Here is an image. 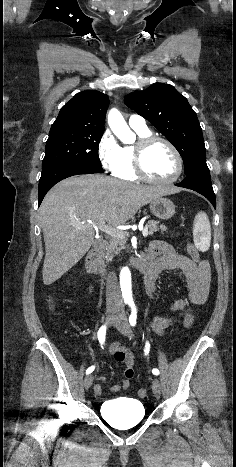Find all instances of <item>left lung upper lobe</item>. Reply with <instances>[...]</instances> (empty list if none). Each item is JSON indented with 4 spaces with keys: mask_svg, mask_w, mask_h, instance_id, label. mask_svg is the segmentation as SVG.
<instances>
[{
    "mask_svg": "<svg viewBox=\"0 0 236 467\" xmlns=\"http://www.w3.org/2000/svg\"><path fill=\"white\" fill-rule=\"evenodd\" d=\"M124 102L175 146L183 159L186 175L207 167L202 129L196 113L173 86L158 83L126 95Z\"/></svg>",
    "mask_w": 236,
    "mask_h": 467,
    "instance_id": "obj_1",
    "label": "left lung upper lobe"
}]
</instances>
